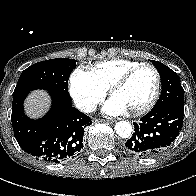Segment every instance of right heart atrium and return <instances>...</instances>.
Listing matches in <instances>:
<instances>
[{
  "mask_svg": "<svg viewBox=\"0 0 196 196\" xmlns=\"http://www.w3.org/2000/svg\"><path fill=\"white\" fill-rule=\"evenodd\" d=\"M106 91L90 71L83 68H76L73 71L70 78V94L80 110L93 111L104 99Z\"/></svg>",
  "mask_w": 196,
  "mask_h": 196,
  "instance_id": "right-heart-atrium-1",
  "label": "right heart atrium"
}]
</instances>
